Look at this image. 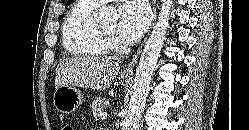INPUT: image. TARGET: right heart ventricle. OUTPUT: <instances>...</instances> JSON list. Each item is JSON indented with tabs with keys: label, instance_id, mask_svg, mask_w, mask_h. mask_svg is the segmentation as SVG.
Masks as SVG:
<instances>
[{
	"label": "right heart ventricle",
	"instance_id": "e07e8e85",
	"mask_svg": "<svg viewBox=\"0 0 249 130\" xmlns=\"http://www.w3.org/2000/svg\"><path fill=\"white\" fill-rule=\"evenodd\" d=\"M99 3L93 0H77L66 16L62 27V43L71 56L101 57L108 48L94 17Z\"/></svg>",
	"mask_w": 249,
	"mask_h": 130
}]
</instances>
